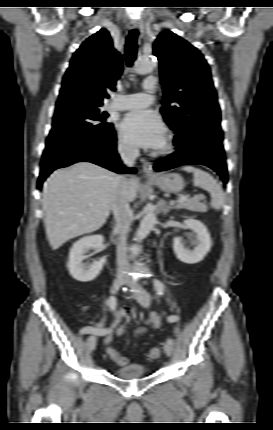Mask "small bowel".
Wrapping results in <instances>:
<instances>
[{
    "label": "small bowel",
    "instance_id": "c3829d8e",
    "mask_svg": "<svg viewBox=\"0 0 273 430\" xmlns=\"http://www.w3.org/2000/svg\"><path fill=\"white\" fill-rule=\"evenodd\" d=\"M128 321H129L128 313L125 310L121 311L113 326L110 329H108V333L104 335L103 342H104V345L107 347V351L108 349L113 348L111 347V344H112V337L114 333L120 338H123L125 336V326ZM146 323L152 325L153 327H159L161 325L160 318L156 313H153L151 317L148 320H146ZM103 325L104 324L102 322H99L96 326H90V325L84 326L81 328L80 334H93L94 330L104 329ZM145 332H146V327L144 326L138 327L135 331L136 337L142 336Z\"/></svg>",
    "mask_w": 273,
    "mask_h": 430
}]
</instances>
